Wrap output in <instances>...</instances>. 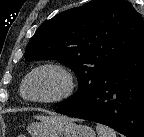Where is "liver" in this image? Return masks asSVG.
<instances>
[{
  "label": "liver",
  "mask_w": 144,
  "mask_h": 137,
  "mask_svg": "<svg viewBox=\"0 0 144 137\" xmlns=\"http://www.w3.org/2000/svg\"><path fill=\"white\" fill-rule=\"evenodd\" d=\"M36 119L40 120V121H45V120H48V119H51L52 117H49V116H35Z\"/></svg>",
  "instance_id": "6515ba94"
}]
</instances>
